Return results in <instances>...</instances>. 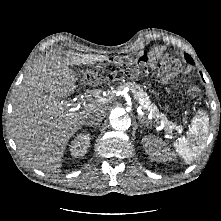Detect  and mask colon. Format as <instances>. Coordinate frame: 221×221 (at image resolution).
Listing matches in <instances>:
<instances>
[{
    "instance_id": "obj_1",
    "label": "colon",
    "mask_w": 221,
    "mask_h": 221,
    "mask_svg": "<svg viewBox=\"0 0 221 221\" xmlns=\"http://www.w3.org/2000/svg\"><path fill=\"white\" fill-rule=\"evenodd\" d=\"M151 60L148 53H143L138 56V69L140 71H147L150 68ZM158 74L161 77H165L169 75L170 68L168 63L160 62L157 66ZM118 67L112 63H106L97 66H91L87 70L83 72V76L87 79L92 80H107L112 79L118 75ZM125 75L133 74L134 70L132 67L127 68L123 72ZM197 90L196 88L190 89L191 93H195Z\"/></svg>"
}]
</instances>
